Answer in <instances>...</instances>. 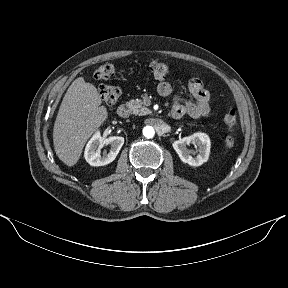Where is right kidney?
I'll list each match as a JSON object with an SVG mask.
<instances>
[{
  "mask_svg": "<svg viewBox=\"0 0 288 288\" xmlns=\"http://www.w3.org/2000/svg\"><path fill=\"white\" fill-rule=\"evenodd\" d=\"M105 144H110V152H104L103 156H101L99 150L100 147ZM123 144V137L111 136L108 138H102L100 133L97 132L87 143L84 157L91 166L107 165L115 160Z\"/></svg>",
  "mask_w": 288,
  "mask_h": 288,
  "instance_id": "obj_1",
  "label": "right kidney"
}]
</instances>
